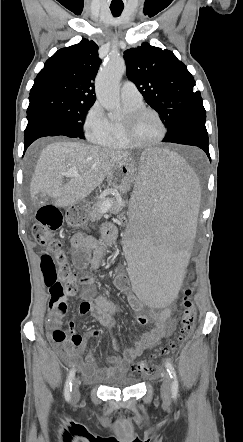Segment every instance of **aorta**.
Listing matches in <instances>:
<instances>
[{
  "label": "aorta",
  "mask_w": 243,
  "mask_h": 442,
  "mask_svg": "<svg viewBox=\"0 0 243 442\" xmlns=\"http://www.w3.org/2000/svg\"><path fill=\"white\" fill-rule=\"evenodd\" d=\"M125 71L126 65L123 58L110 56L96 77V97L100 104L111 113H117L120 110L119 81Z\"/></svg>",
  "instance_id": "aorta-1"
}]
</instances>
